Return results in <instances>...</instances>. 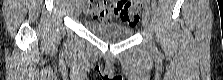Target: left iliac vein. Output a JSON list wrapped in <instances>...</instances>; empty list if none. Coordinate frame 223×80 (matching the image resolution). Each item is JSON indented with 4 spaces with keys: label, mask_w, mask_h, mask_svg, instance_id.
<instances>
[{
    "label": "left iliac vein",
    "mask_w": 223,
    "mask_h": 80,
    "mask_svg": "<svg viewBox=\"0 0 223 80\" xmlns=\"http://www.w3.org/2000/svg\"><path fill=\"white\" fill-rule=\"evenodd\" d=\"M142 25L145 31L149 32L150 31V18L149 15L144 12L143 17H142Z\"/></svg>",
    "instance_id": "left-iliac-vein-1"
}]
</instances>
